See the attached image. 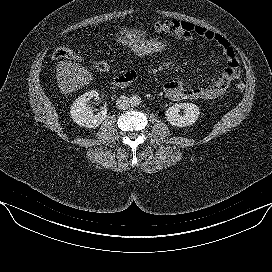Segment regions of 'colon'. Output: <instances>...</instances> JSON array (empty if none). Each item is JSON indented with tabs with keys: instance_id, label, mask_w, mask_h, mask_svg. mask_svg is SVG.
Wrapping results in <instances>:
<instances>
[{
	"instance_id": "colon-1",
	"label": "colon",
	"mask_w": 272,
	"mask_h": 272,
	"mask_svg": "<svg viewBox=\"0 0 272 272\" xmlns=\"http://www.w3.org/2000/svg\"><path fill=\"white\" fill-rule=\"evenodd\" d=\"M114 43L128 54L136 57H150L161 55L170 50V42L158 36H148L144 38L127 37L116 33L112 36ZM55 59H74L79 55L71 48L59 47L54 50ZM109 64L105 60H97L93 63V69L97 72L109 71ZM239 91H244L245 84L239 82L236 84Z\"/></svg>"
}]
</instances>
